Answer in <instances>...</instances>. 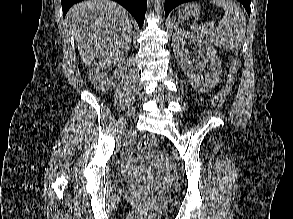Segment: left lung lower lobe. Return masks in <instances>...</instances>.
Instances as JSON below:
<instances>
[{"mask_svg": "<svg viewBox=\"0 0 293 219\" xmlns=\"http://www.w3.org/2000/svg\"><path fill=\"white\" fill-rule=\"evenodd\" d=\"M192 0H165V15L168 16L170 11L175 8L176 6L186 3ZM240 3L243 4L245 7L247 13L250 15L251 9H250V0H238Z\"/></svg>", "mask_w": 293, "mask_h": 219, "instance_id": "0a47b994", "label": "left lung lower lobe"}]
</instances>
